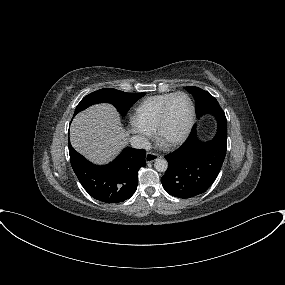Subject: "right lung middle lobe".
<instances>
[{
    "label": "right lung middle lobe",
    "mask_w": 285,
    "mask_h": 285,
    "mask_svg": "<svg viewBox=\"0 0 285 285\" xmlns=\"http://www.w3.org/2000/svg\"><path fill=\"white\" fill-rule=\"evenodd\" d=\"M145 93H126L113 88H104L85 96L75 109L74 115L96 103H110L124 117L130 107Z\"/></svg>",
    "instance_id": "obj_1"
}]
</instances>
